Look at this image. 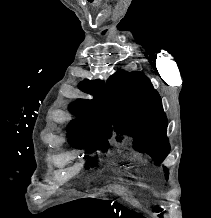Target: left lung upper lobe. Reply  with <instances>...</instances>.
Listing matches in <instances>:
<instances>
[{
	"label": "left lung upper lobe",
	"instance_id": "left-lung-upper-lobe-1",
	"mask_svg": "<svg viewBox=\"0 0 211 218\" xmlns=\"http://www.w3.org/2000/svg\"><path fill=\"white\" fill-rule=\"evenodd\" d=\"M107 93L115 131L133 137L136 149L161 164L170 151L167 119L149 78L141 72H116L107 81ZM164 171L168 179V169L164 167Z\"/></svg>",
	"mask_w": 211,
	"mask_h": 218
}]
</instances>
